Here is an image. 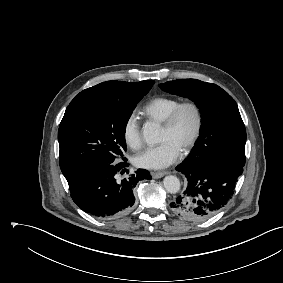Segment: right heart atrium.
<instances>
[{
	"label": "right heart atrium",
	"instance_id": "d8ad5b80",
	"mask_svg": "<svg viewBox=\"0 0 283 283\" xmlns=\"http://www.w3.org/2000/svg\"><path fill=\"white\" fill-rule=\"evenodd\" d=\"M124 142L132 149L138 148L142 143V135L138 118L135 114H130L122 129Z\"/></svg>",
	"mask_w": 283,
	"mask_h": 283
}]
</instances>
